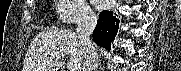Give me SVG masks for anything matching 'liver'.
Wrapping results in <instances>:
<instances>
[{"instance_id":"1","label":"liver","mask_w":181,"mask_h":71,"mask_svg":"<svg viewBox=\"0 0 181 71\" xmlns=\"http://www.w3.org/2000/svg\"><path fill=\"white\" fill-rule=\"evenodd\" d=\"M52 53L67 56L69 71H84L86 52L78 36L68 30H50L39 33L31 42L24 60L23 71H59L62 61Z\"/></svg>"}]
</instances>
